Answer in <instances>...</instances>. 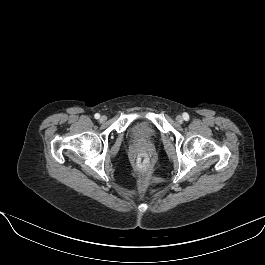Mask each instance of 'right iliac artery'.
I'll list each match as a JSON object with an SVG mask.
<instances>
[{"instance_id":"right-iliac-artery-1","label":"right iliac artery","mask_w":265,"mask_h":265,"mask_svg":"<svg viewBox=\"0 0 265 265\" xmlns=\"http://www.w3.org/2000/svg\"><path fill=\"white\" fill-rule=\"evenodd\" d=\"M94 117H95L96 119H99V118H100V114L96 113Z\"/></svg>"}]
</instances>
